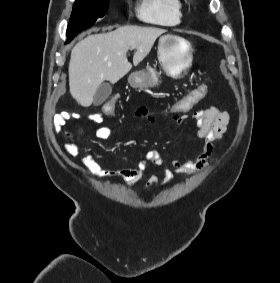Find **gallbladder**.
Returning a JSON list of instances; mask_svg holds the SVG:
<instances>
[{"label":"gallbladder","mask_w":280,"mask_h":283,"mask_svg":"<svg viewBox=\"0 0 280 283\" xmlns=\"http://www.w3.org/2000/svg\"><path fill=\"white\" fill-rule=\"evenodd\" d=\"M111 92H112V87L109 83L107 82L101 83L94 95V99H93L94 106H99L103 102H105L106 99L110 96Z\"/></svg>","instance_id":"1"}]
</instances>
